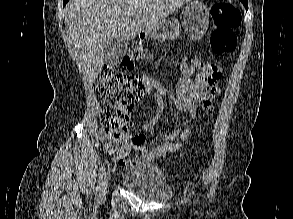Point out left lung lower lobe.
Masks as SVG:
<instances>
[{
  "mask_svg": "<svg viewBox=\"0 0 293 219\" xmlns=\"http://www.w3.org/2000/svg\"><path fill=\"white\" fill-rule=\"evenodd\" d=\"M240 1L243 3V5L245 6V8L247 10V8H248V0H240Z\"/></svg>",
  "mask_w": 293,
  "mask_h": 219,
  "instance_id": "1",
  "label": "left lung lower lobe"
}]
</instances>
